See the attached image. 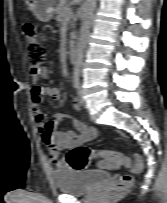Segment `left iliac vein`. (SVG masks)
<instances>
[{"label":"left iliac vein","mask_w":167,"mask_h":203,"mask_svg":"<svg viewBox=\"0 0 167 203\" xmlns=\"http://www.w3.org/2000/svg\"><path fill=\"white\" fill-rule=\"evenodd\" d=\"M78 95H79V102H80L81 106L86 107V101L83 98V90L81 87H79V89H78Z\"/></svg>","instance_id":"obj_1"}]
</instances>
